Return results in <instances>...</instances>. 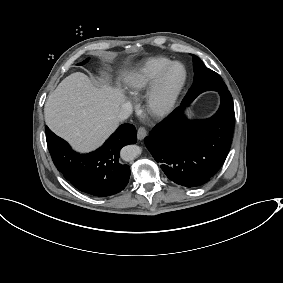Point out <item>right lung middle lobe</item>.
<instances>
[{"label":"right lung middle lobe","mask_w":283,"mask_h":283,"mask_svg":"<svg viewBox=\"0 0 283 283\" xmlns=\"http://www.w3.org/2000/svg\"><path fill=\"white\" fill-rule=\"evenodd\" d=\"M89 59L84 60L83 62L79 63L78 65H83L85 64Z\"/></svg>","instance_id":"1"}]
</instances>
